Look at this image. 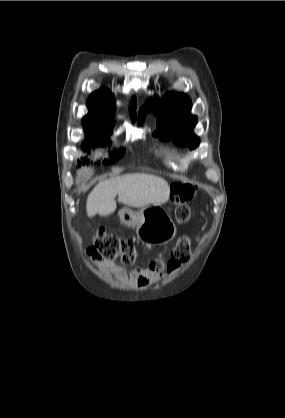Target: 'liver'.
Returning <instances> with one entry per match:
<instances>
[{
  "label": "liver",
  "instance_id": "liver-1",
  "mask_svg": "<svg viewBox=\"0 0 285 418\" xmlns=\"http://www.w3.org/2000/svg\"><path fill=\"white\" fill-rule=\"evenodd\" d=\"M92 173V168H84L82 171L84 176ZM169 194L170 186L161 177L146 173L127 174L98 183L88 195L86 210L89 216H107L116 210V195L120 203L143 208L165 203Z\"/></svg>",
  "mask_w": 285,
  "mask_h": 418
}]
</instances>
